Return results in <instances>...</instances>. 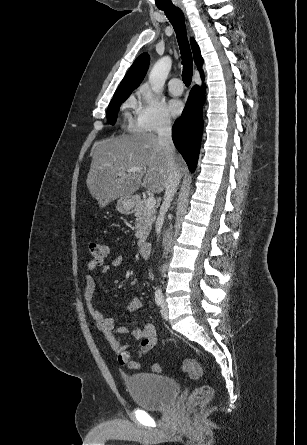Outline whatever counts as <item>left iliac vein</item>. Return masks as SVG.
<instances>
[{
	"label": "left iliac vein",
	"mask_w": 307,
	"mask_h": 445,
	"mask_svg": "<svg viewBox=\"0 0 307 445\" xmlns=\"http://www.w3.org/2000/svg\"><path fill=\"white\" fill-rule=\"evenodd\" d=\"M168 315H169V313H168V306H167V303H166L165 299L163 298V302H162V305H161V316H162L163 319L167 320L168 319Z\"/></svg>",
	"instance_id": "left-iliac-vein-1"
}]
</instances>
